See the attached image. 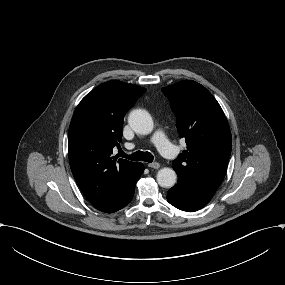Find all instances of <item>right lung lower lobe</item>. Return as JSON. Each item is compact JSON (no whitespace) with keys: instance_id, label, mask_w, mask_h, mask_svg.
I'll return each instance as SVG.
<instances>
[{"instance_id":"obj_1","label":"right lung lower lobe","mask_w":285,"mask_h":285,"mask_svg":"<svg viewBox=\"0 0 285 285\" xmlns=\"http://www.w3.org/2000/svg\"><path fill=\"white\" fill-rule=\"evenodd\" d=\"M143 171H144V166L143 164H141L137 172L130 178L118 202L114 206H112L110 209L104 212L106 213L116 212L130 203L134 195L136 182L142 175Z\"/></svg>"}]
</instances>
